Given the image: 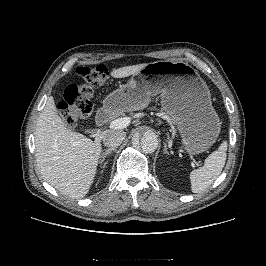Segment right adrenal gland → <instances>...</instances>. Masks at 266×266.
I'll list each match as a JSON object with an SVG mask.
<instances>
[{
    "label": "right adrenal gland",
    "mask_w": 266,
    "mask_h": 266,
    "mask_svg": "<svg viewBox=\"0 0 266 266\" xmlns=\"http://www.w3.org/2000/svg\"><path fill=\"white\" fill-rule=\"evenodd\" d=\"M112 151H116V148H109V149H107L105 152H103V153L101 154L100 164H102V163L104 162L105 158H106L109 154H111Z\"/></svg>",
    "instance_id": "obj_1"
}]
</instances>
